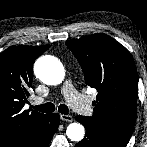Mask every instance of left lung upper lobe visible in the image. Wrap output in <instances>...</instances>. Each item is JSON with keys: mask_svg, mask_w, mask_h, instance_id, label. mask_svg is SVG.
<instances>
[{"mask_svg": "<svg viewBox=\"0 0 147 147\" xmlns=\"http://www.w3.org/2000/svg\"><path fill=\"white\" fill-rule=\"evenodd\" d=\"M80 63L87 85L98 95L87 120L121 145H127L136 120L138 76L129 51L105 34L66 42Z\"/></svg>", "mask_w": 147, "mask_h": 147, "instance_id": "obj_1", "label": "left lung upper lobe"}]
</instances>
